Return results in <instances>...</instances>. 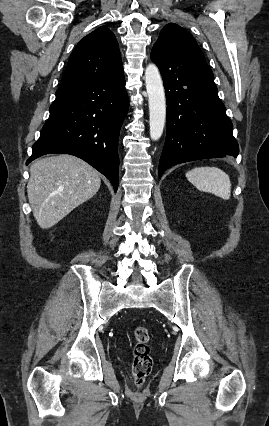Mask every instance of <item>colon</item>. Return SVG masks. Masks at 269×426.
Instances as JSON below:
<instances>
[{
	"label": "colon",
	"instance_id": "5ec220e1",
	"mask_svg": "<svg viewBox=\"0 0 269 426\" xmlns=\"http://www.w3.org/2000/svg\"><path fill=\"white\" fill-rule=\"evenodd\" d=\"M134 350H133V375L136 388H140L147 375L151 371L152 360L150 357L149 332L145 326H137L133 331Z\"/></svg>",
	"mask_w": 269,
	"mask_h": 426
}]
</instances>
